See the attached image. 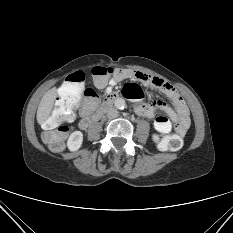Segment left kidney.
<instances>
[{"mask_svg":"<svg viewBox=\"0 0 233 233\" xmlns=\"http://www.w3.org/2000/svg\"><path fill=\"white\" fill-rule=\"evenodd\" d=\"M153 141H154V142H158V141H159V136L156 135V134H154V135H153Z\"/></svg>","mask_w":233,"mask_h":233,"instance_id":"1","label":"left kidney"}]
</instances>
